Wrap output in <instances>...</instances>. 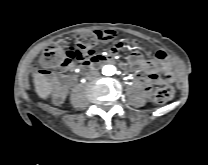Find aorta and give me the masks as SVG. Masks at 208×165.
Wrapping results in <instances>:
<instances>
[{"label": "aorta", "instance_id": "1", "mask_svg": "<svg viewBox=\"0 0 208 165\" xmlns=\"http://www.w3.org/2000/svg\"><path fill=\"white\" fill-rule=\"evenodd\" d=\"M115 72H116V68L112 65H109L106 68V75H108V76H111V75L115 74Z\"/></svg>", "mask_w": 208, "mask_h": 165}]
</instances>
